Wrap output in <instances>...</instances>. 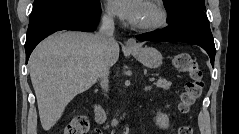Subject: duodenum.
<instances>
[{
    "mask_svg": "<svg viewBox=\"0 0 239 134\" xmlns=\"http://www.w3.org/2000/svg\"><path fill=\"white\" fill-rule=\"evenodd\" d=\"M94 118L97 123H103L106 120V113L102 107L98 105L94 107ZM123 118H117V121H121Z\"/></svg>",
    "mask_w": 239,
    "mask_h": 134,
    "instance_id": "duodenum-1",
    "label": "duodenum"
}]
</instances>
